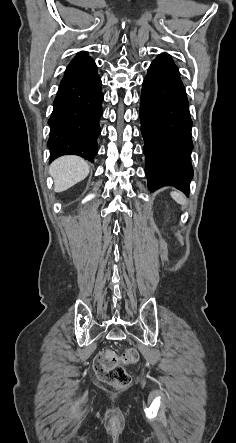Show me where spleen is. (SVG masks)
Here are the masks:
<instances>
[{
  "mask_svg": "<svg viewBox=\"0 0 236 443\" xmlns=\"http://www.w3.org/2000/svg\"><path fill=\"white\" fill-rule=\"evenodd\" d=\"M171 197L180 205H185L186 204V199L184 197V195L181 192L178 191H172L171 193Z\"/></svg>",
  "mask_w": 236,
  "mask_h": 443,
  "instance_id": "spleen-1",
  "label": "spleen"
}]
</instances>
